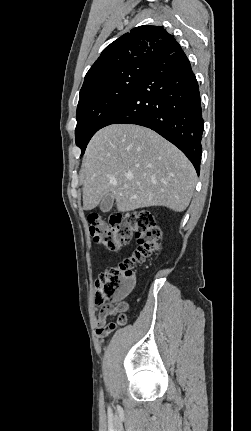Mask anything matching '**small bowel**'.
Returning <instances> with one entry per match:
<instances>
[{
  "label": "small bowel",
  "mask_w": 251,
  "mask_h": 431,
  "mask_svg": "<svg viewBox=\"0 0 251 431\" xmlns=\"http://www.w3.org/2000/svg\"><path fill=\"white\" fill-rule=\"evenodd\" d=\"M110 314L107 313L103 308L99 311L98 317L96 319V334L99 338H103L108 335L112 329L110 328V324L106 323V318Z\"/></svg>",
  "instance_id": "1"
}]
</instances>
